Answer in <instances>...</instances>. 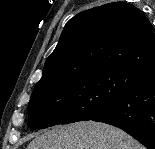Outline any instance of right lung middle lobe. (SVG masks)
<instances>
[{"mask_svg": "<svg viewBox=\"0 0 155 149\" xmlns=\"http://www.w3.org/2000/svg\"><path fill=\"white\" fill-rule=\"evenodd\" d=\"M145 76L128 69L93 70L46 79L29 101V128L91 120Z\"/></svg>", "mask_w": 155, "mask_h": 149, "instance_id": "right-lung-middle-lobe-1", "label": "right lung middle lobe"}]
</instances>
